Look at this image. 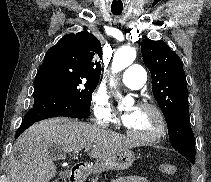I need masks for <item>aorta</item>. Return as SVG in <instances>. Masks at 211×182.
<instances>
[{
    "label": "aorta",
    "instance_id": "aorta-1",
    "mask_svg": "<svg viewBox=\"0 0 211 182\" xmlns=\"http://www.w3.org/2000/svg\"><path fill=\"white\" fill-rule=\"evenodd\" d=\"M136 58V50L132 47L120 48L113 57L112 61V73L115 74L133 63ZM110 85L115 86L113 79L110 80ZM117 97L122 99V96L117 93Z\"/></svg>",
    "mask_w": 211,
    "mask_h": 182
}]
</instances>
